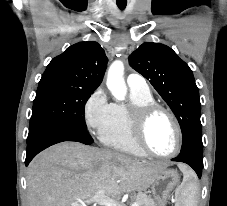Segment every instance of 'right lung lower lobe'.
Segmentation results:
<instances>
[{
    "mask_svg": "<svg viewBox=\"0 0 227 206\" xmlns=\"http://www.w3.org/2000/svg\"><path fill=\"white\" fill-rule=\"evenodd\" d=\"M63 141H76L86 145L92 144L72 130L58 127H45L32 135H28L25 165L28 166L30 161L42 150Z\"/></svg>",
    "mask_w": 227,
    "mask_h": 206,
    "instance_id": "right-lung-lower-lobe-1",
    "label": "right lung lower lobe"
}]
</instances>
